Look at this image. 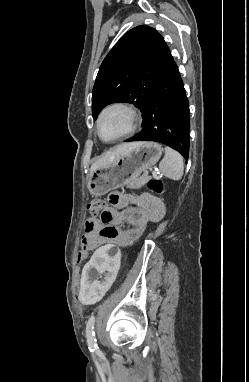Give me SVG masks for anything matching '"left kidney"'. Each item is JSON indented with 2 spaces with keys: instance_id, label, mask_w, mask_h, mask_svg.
<instances>
[{
  "instance_id": "left-kidney-1",
  "label": "left kidney",
  "mask_w": 249,
  "mask_h": 382,
  "mask_svg": "<svg viewBox=\"0 0 249 382\" xmlns=\"http://www.w3.org/2000/svg\"><path fill=\"white\" fill-rule=\"evenodd\" d=\"M120 260L119 245H98L80 273L75 300L83 305L101 302L107 289L113 288L115 277H120Z\"/></svg>"
}]
</instances>
